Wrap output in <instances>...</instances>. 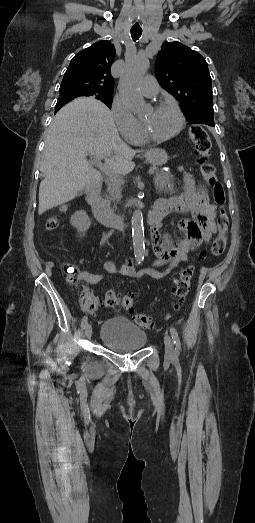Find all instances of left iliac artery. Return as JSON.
<instances>
[{
  "instance_id": "left-iliac-artery-1",
  "label": "left iliac artery",
  "mask_w": 255,
  "mask_h": 523,
  "mask_svg": "<svg viewBox=\"0 0 255 523\" xmlns=\"http://www.w3.org/2000/svg\"><path fill=\"white\" fill-rule=\"evenodd\" d=\"M170 333H171L173 344L175 345V355H176V357H178L180 354V349H181L180 339H179L176 329L172 326L170 327Z\"/></svg>"
}]
</instances>
